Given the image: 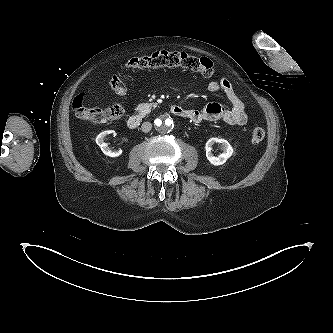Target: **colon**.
I'll return each mask as SVG.
<instances>
[{"label":"colon","instance_id":"colon-1","mask_svg":"<svg viewBox=\"0 0 333 333\" xmlns=\"http://www.w3.org/2000/svg\"><path fill=\"white\" fill-rule=\"evenodd\" d=\"M129 69H158L162 67L181 66L204 75H211L214 71L213 62L206 57H195L179 51H156L149 55L132 57L126 63ZM113 92L119 96L125 95L126 84L119 73H113L110 79ZM73 108L77 117L83 121L102 124L123 116L124 107L120 102H115L105 109L90 108L84 103V95H78L73 101ZM251 140L254 143L262 141L265 130L255 127L251 131Z\"/></svg>","mask_w":333,"mask_h":333}]
</instances>
